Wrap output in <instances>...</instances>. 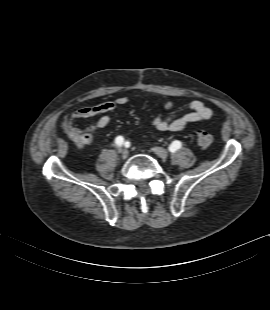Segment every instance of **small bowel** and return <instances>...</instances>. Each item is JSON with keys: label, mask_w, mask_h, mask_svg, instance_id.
I'll list each match as a JSON object with an SVG mask.
<instances>
[{"label": "small bowel", "mask_w": 270, "mask_h": 310, "mask_svg": "<svg viewBox=\"0 0 270 310\" xmlns=\"http://www.w3.org/2000/svg\"><path fill=\"white\" fill-rule=\"evenodd\" d=\"M128 103L127 97H119L115 100L101 102L95 105L82 107L62 120V128L65 134L78 146H89L94 142L93 133L104 129L111 121L110 113L119 106ZM166 115L156 116L152 124L159 131L181 132L191 123L203 122L211 118L213 110L201 101H192L189 105L190 111L184 115L177 116L174 103L168 101L164 105ZM100 116L99 119L85 129L78 128L75 122L80 119Z\"/></svg>", "instance_id": "1"}]
</instances>
